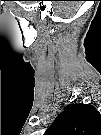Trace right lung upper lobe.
<instances>
[{
  "mask_svg": "<svg viewBox=\"0 0 101 135\" xmlns=\"http://www.w3.org/2000/svg\"><path fill=\"white\" fill-rule=\"evenodd\" d=\"M97 117V110L90 105L70 104L56 117L49 130L61 128L68 135H96Z\"/></svg>",
  "mask_w": 101,
  "mask_h": 135,
  "instance_id": "cb5924a9",
  "label": "right lung upper lobe"
}]
</instances>
